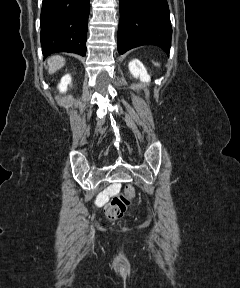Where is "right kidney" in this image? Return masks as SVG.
<instances>
[{"mask_svg":"<svg viewBox=\"0 0 240 288\" xmlns=\"http://www.w3.org/2000/svg\"><path fill=\"white\" fill-rule=\"evenodd\" d=\"M71 84V76L69 74H66L65 76L62 77L58 89L60 92H66L68 85Z\"/></svg>","mask_w":240,"mask_h":288,"instance_id":"right-kidney-1","label":"right kidney"}]
</instances>
